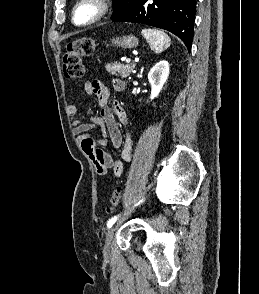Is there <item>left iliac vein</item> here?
Wrapping results in <instances>:
<instances>
[{
    "label": "left iliac vein",
    "mask_w": 259,
    "mask_h": 294,
    "mask_svg": "<svg viewBox=\"0 0 259 294\" xmlns=\"http://www.w3.org/2000/svg\"><path fill=\"white\" fill-rule=\"evenodd\" d=\"M116 228H117L116 226H113L106 232L105 242H104V246H103V253L105 255L110 254L111 243H112V239H113L114 233L116 231Z\"/></svg>",
    "instance_id": "1"
}]
</instances>
